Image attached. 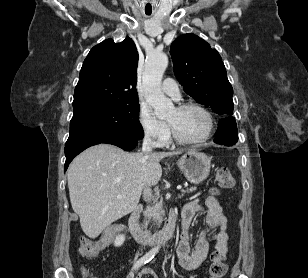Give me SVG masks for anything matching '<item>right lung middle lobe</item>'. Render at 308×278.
<instances>
[{"label": "right lung middle lobe", "instance_id": "right-lung-middle-lobe-1", "mask_svg": "<svg viewBox=\"0 0 308 278\" xmlns=\"http://www.w3.org/2000/svg\"><path fill=\"white\" fill-rule=\"evenodd\" d=\"M83 133H117L143 138L139 104H120L73 115L69 136Z\"/></svg>", "mask_w": 308, "mask_h": 278}]
</instances>
